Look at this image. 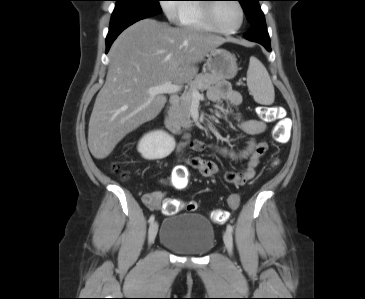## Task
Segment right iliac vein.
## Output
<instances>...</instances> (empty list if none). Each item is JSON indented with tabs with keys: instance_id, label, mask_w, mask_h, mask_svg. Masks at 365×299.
I'll return each instance as SVG.
<instances>
[{
	"instance_id": "1",
	"label": "right iliac vein",
	"mask_w": 365,
	"mask_h": 299,
	"mask_svg": "<svg viewBox=\"0 0 365 299\" xmlns=\"http://www.w3.org/2000/svg\"><path fill=\"white\" fill-rule=\"evenodd\" d=\"M157 231H158V224H157V222H153L150 225L149 232H148V242H149V244H152L155 241Z\"/></svg>"
}]
</instances>
